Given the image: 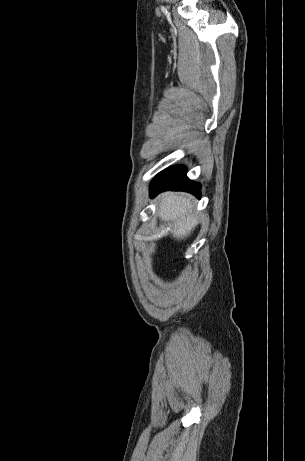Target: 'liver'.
I'll return each instance as SVG.
<instances>
[{"mask_svg": "<svg viewBox=\"0 0 305 461\" xmlns=\"http://www.w3.org/2000/svg\"><path fill=\"white\" fill-rule=\"evenodd\" d=\"M158 215L164 221H172L174 238L184 239L197 226L191 198L184 194L165 193L161 196Z\"/></svg>", "mask_w": 305, "mask_h": 461, "instance_id": "liver-1", "label": "liver"}]
</instances>
